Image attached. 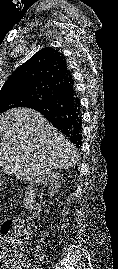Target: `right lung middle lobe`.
I'll return each instance as SVG.
<instances>
[{"label": "right lung middle lobe", "instance_id": "right-lung-middle-lobe-1", "mask_svg": "<svg viewBox=\"0 0 118 269\" xmlns=\"http://www.w3.org/2000/svg\"><path fill=\"white\" fill-rule=\"evenodd\" d=\"M38 102L35 96L22 94H8L0 97V113L15 107H28Z\"/></svg>", "mask_w": 118, "mask_h": 269}]
</instances>
